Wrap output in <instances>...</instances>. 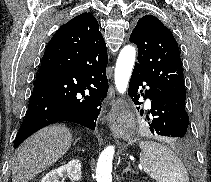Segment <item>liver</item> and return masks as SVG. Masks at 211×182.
<instances>
[{
	"instance_id": "1",
	"label": "liver",
	"mask_w": 211,
	"mask_h": 182,
	"mask_svg": "<svg viewBox=\"0 0 211 182\" xmlns=\"http://www.w3.org/2000/svg\"><path fill=\"white\" fill-rule=\"evenodd\" d=\"M72 134L63 125L41 129L16 150L12 159V182H28L60 159L70 148Z\"/></svg>"
}]
</instances>
